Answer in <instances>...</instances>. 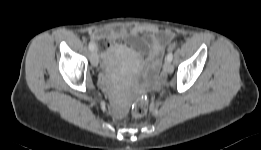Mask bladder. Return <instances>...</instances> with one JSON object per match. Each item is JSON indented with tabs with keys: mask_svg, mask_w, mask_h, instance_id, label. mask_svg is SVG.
<instances>
[{
	"mask_svg": "<svg viewBox=\"0 0 261 150\" xmlns=\"http://www.w3.org/2000/svg\"><path fill=\"white\" fill-rule=\"evenodd\" d=\"M115 62V58L113 56H110L109 58H107L106 60V65L108 67H112L114 65Z\"/></svg>",
	"mask_w": 261,
	"mask_h": 150,
	"instance_id": "31cf9c89",
	"label": "bladder"
}]
</instances>
